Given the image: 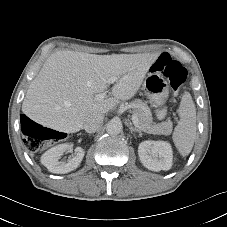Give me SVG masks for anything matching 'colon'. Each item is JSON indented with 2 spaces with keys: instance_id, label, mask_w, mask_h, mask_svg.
<instances>
[{
  "instance_id": "1",
  "label": "colon",
  "mask_w": 227,
  "mask_h": 227,
  "mask_svg": "<svg viewBox=\"0 0 227 227\" xmlns=\"http://www.w3.org/2000/svg\"><path fill=\"white\" fill-rule=\"evenodd\" d=\"M152 70L164 76L170 83L174 92H177L179 87L187 78V70L174 60L169 54H161L152 66ZM25 131L28 135L26 147L29 150L36 151L40 149L44 141L54 139V132L44 128L34 122H27Z\"/></svg>"
}]
</instances>
